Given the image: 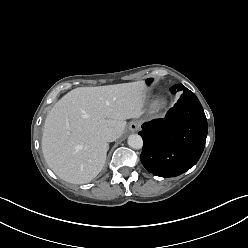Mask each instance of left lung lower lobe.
<instances>
[{"label": "left lung lower lobe", "mask_w": 248, "mask_h": 248, "mask_svg": "<svg viewBox=\"0 0 248 248\" xmlns=\"http://www.w3.org/2000/svg\"><path fill=\"white\" fill-rule=\"evenodd\" d=\"M139 135L143 138V166L160 177L178 176L199 160L207 119L196 95L186 89L165 118L144 123Z\"/></svg>", "instance_id": "1"}]
</instances>
